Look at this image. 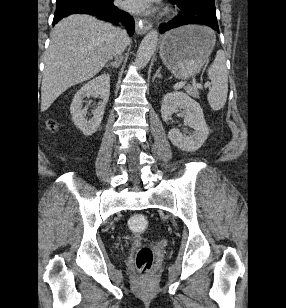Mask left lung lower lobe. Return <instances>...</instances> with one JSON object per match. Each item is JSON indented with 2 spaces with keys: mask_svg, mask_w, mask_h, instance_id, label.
<instances>
[{
  "mask_svg": "<svg viewBox=\"0 0 286 308\" xmlns=\"http://www.w3.org/2000/svg\"><path fill=\"white\" fill-rule=\"evenodd\" d=\"M180 12L175 19L159 26L163 33L167 30L187 24L210 26L219 32L214 0H169Z\"/></svg>",
  "mask_w": 286,
  "mask_h": 308,
  "instance_id": "left-lung-lower-lobe-1",
  "label": "left lung lower lobe"
}]
</instances>
